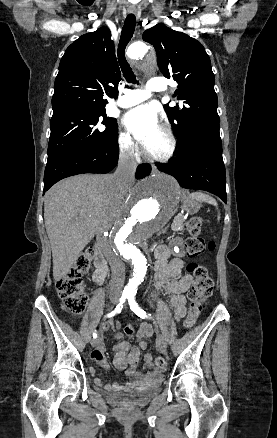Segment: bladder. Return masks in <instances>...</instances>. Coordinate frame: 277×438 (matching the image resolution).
<instances>
[{"label": "bladder", "instance_id": "bladder-1", "mask_svg": "<svg viewBox=\"0 0 277 438\" xmlns=\"http://www.w3.org/2000/svg\"><path fill=\"white\" fill-rule=\"evenodd\" d=\"M161 383L162 379L160 378L156 382H150L146 387L141 389L128 392H116L114 398L115 404L130 407L145 405L158 391Z\"/></svg>", "mask_w": 277, "mask_h": 438}]
</instances>
